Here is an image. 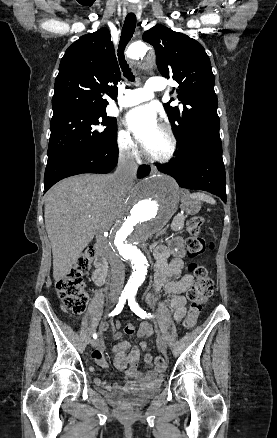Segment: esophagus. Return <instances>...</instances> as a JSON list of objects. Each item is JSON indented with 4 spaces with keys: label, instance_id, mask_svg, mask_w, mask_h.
I'll return each instance as SVG.
<instances>
[{
    "label": "esophagus",
    "instance_id": "34e87169",
    "mask_svg": "<svg viewBox=\"0 0 277 438\" xmlns=\"http://www.w3.org/2000/svg\"><path fill=\"white\" fill-rule=\"evenodd\" d=\"M128 11L131 13H135L137 11L136 7H128Z\"/></svg>",
    "mask_w": 277,
    "mask_h": 438
}]
</instances>
